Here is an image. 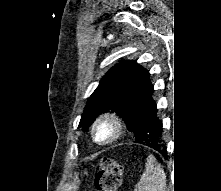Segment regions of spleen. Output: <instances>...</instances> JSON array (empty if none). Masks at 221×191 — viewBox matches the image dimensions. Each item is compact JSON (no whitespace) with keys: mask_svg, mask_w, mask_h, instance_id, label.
<instances>
[{"mask_svg":"<svg viewBox=\"0 0 221 191\" xmlns=\"http://www.w3.org/2000/svg\"><path fill=\"white\" fill-rule=\"evenodd\" d=\"M166 174L153 155H149L134 191H166Z\"/></svg>","mask_w":221,"mask_h":191,"instance_id":"1","label":"spleen"}]
</instances>
